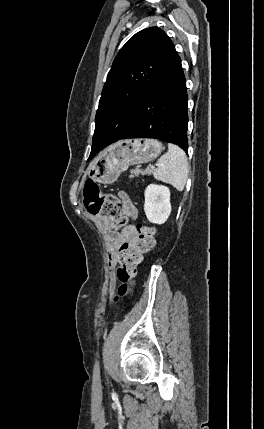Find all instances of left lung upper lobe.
I'll return each mask as SVG.
<instances>
[{
    "label": "left lung upper lobe",
    "instance_id": "1",
    "mask_svg": "<svg viewBox=\"0 0 264 429\" xmlns=\"http://www.w3.org/2000/svg\"><path fill=\"white\" fill-rule=\"evenodd\" d=\"M172 41L158 27L136 33L120 49L104 84L95 118L90 157L122 139L159 75Z\"/></svg>",
    "mask_w": 264,
    "mask_h": 429
}]
</instances>
